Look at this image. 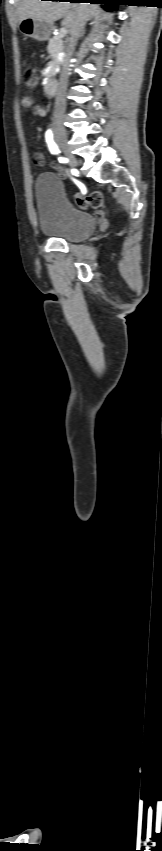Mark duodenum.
Returning <instances> with one entry per match:
<instances>
[{"instance_id":"obj_1","label":"duodenum","mask_w":162,"mask_h":851,"mask_svg":"<svg viewBox=\"0 0 162 851\" xmlns=\"http://www.w3.org/2000/svg\"><path fill=\"white\" fill-rule=\"evenodd\" d=\"M57 91V81L54 78H49L44 84V93L47 96H53Z\"/></svg>"}]
</instances>
